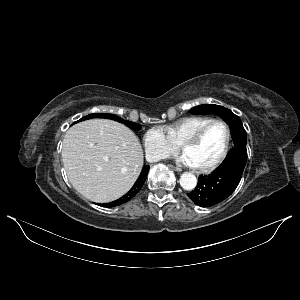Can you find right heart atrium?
<instances>
[{
	"instance_id": "1",
	"label": "right heart atrium",
	"mask_w": 300,
	"mask_h": 300,
	"mask_svg": "<svg viewBox=\"0 0 300 300\" xmlns=\"http://www.w3.org/2000/svg\"><path fill=\"white\" fill-rule=\"evenodd\" d=\"M143 147L150 162H158L173 156L178 146L173 144L161 127L148 129L143 135Z\"/></svg>"
}]
</instances>
